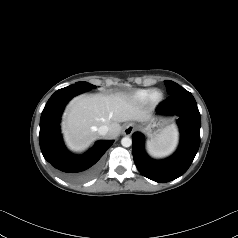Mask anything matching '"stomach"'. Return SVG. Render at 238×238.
<instances>
[{
  "label": "stomach",
  "instance_id": "0dacf381",
  "mask_svg": "<svg viewBox=\"0 0 238 238\" xmlns=\"http://www.w3.org/2000/svg\"><path fill=\"white\" fill-rule=\"evenodd\" d=\"M169 126L171 125H169L168 120L165 118H153L142 130L151 140H154L158 138Z\"/></svg>",
  "mask_w": 238,
  "mask_h": 238
}]
</instances>
